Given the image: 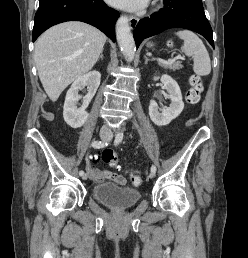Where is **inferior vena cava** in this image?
<instances>
[{
    "instance_id": "1",
    "label": "inferior vena cava",
    "mask_w": 248,
    "mask_h": 258,
    "mask_svg": "<svg viewBox=\"0 0 248 258\" xmlns=\"http://www.w3.org/2000/svg\"><path fill=\"white\" fill-rule=\"evenodd\" d=\"M101 133L104 134H111V129L108 125H103L101 128Z\"/></svg>"
}]
</instances>
